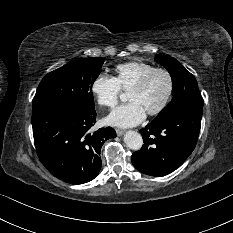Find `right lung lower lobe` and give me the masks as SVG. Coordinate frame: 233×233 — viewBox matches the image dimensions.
Wrapping results in <instances>:
<instances>
[{"label": "right lung lower lobe", "mask_w": 233, "mask_h": 233, "mask_svg": "<svg viewBox=\"0 0 233 233\" xmlns=\"http://www.w3.org/2000/svg\"><path fill=\"white\" fill-rule=\"evenodd\" d=\"M95 122V111L66 105L32 107L37 155L52 175L71 184L86 183L98 175L101 147L116 132L111 127L91 132Z\"/></svg>", "instance_id": "obj_1"}]
</instances>
